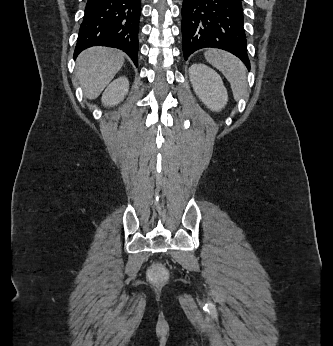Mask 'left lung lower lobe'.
<instances>
[{
  "instance_id": "0a47b994",
  "label": "left lung lower lobe",
  "mask_w": 333,
  "mask_h": 346,
  "mask_svg": "<svg viewBox=\"0 0 333 346\" xmlns=\"http://www.w3.org/2000/svg\"><path fill=\"white\" fill-rule=\"evenodd\" d=\"M181 13L185 60L213 47L231 52L250 69L241 0H183Z\"/></svg>"
}]
</instances>
